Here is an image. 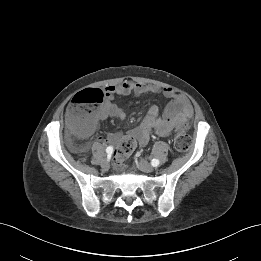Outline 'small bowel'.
I'll return each mask as SVG.
<instances>
[{
  "instance_id": "small-bowel-1",
  "label": "small bowel",
  "mask_w": 261,
  "mask_h": 261,
  "mask_svg": "<svg viewBox=\"0 0 261 261\" xmlns=\"http://www.w3.org/2000/svg\"><path fill=\"white\" fill-rule=\"evenodd\" d=\"M134 94L143 96L148 94H162L168 103L163 109L161 115L157 105L149 106L148 111L140 125L128 131L126 134L120 132L109 133L100 138V141L108 144H117L123 138H133L137 145L144 146L148 143L151 133H155L160 137L170 136L177 124L183 123L187 125L189 119L193 115V109L188 100L179 91L172 88H161L156 85L139 83L133 81H123L117 85H109L105 89V100L96 108L93 115L92 127L86 132L91 135L99 122L108 118L122 120L125 118L124 109L115 102L116 96H127ZM76 151H83L84 146H74Z\"/></svg>"
}]
</instances>
